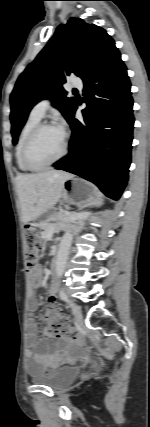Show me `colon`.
I'll use <instances>...</instances> for the list:
<instances>
[{
    "label": "colon",
    "instance_id": "1",
    "mask_svg": "<svg viewBox=\"0 0 150 427\" xmlns=\"http://www.w3.org/2000/svg\"><path fill=\"white\" fill-rule=\"evenodd\" d=\"M24 236L27 243L25 264L27 269L31 271L37 266L41 242L37 230L32 224L25 226ZM54 299V296H49L50 305L45 313L48 322L47 333L54 337H68L76 340L77 334L67 325L59 308L54 304Z\"/></svg>",
    "mask_w": 150,
    "mask_h": 427
}]
</instances>
